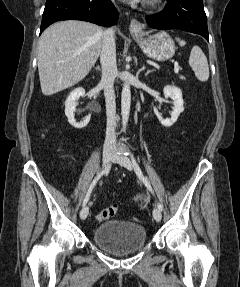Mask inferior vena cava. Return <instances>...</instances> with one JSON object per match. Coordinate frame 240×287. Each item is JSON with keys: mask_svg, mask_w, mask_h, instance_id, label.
I'll list each match as a JSON object with an SVG mask.
<instances>
[{"mask_svg": "<svg viewBox=\"0 0 240 287\" xmlns=\"http://www.w3.org/2000/svg\"><path fill=\"white\" fill-rule=\"evenodd\" d=\"M102 66L101 86L104 89L107 127L104 149L112 148L116 142V103L114 93V81L117 75L115 31L108 28L103 32L102 47L100 53Z\"/></svg>", "mask_w": 240, "mask_h": 287, "instance_id": "obj_1", "label": "inferior vena cava"}]
</instances>
